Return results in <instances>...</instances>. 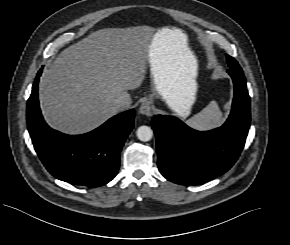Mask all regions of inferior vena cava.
Masks as SVG:
<instances>
[{
    "mask_svg": "<svg viewBox=\"0 0 290 245\" xmlns=\"http://www.w3.org/2000/svg\"><path fill=\"white\" fill-rule=\"evenodd\" d=\"M128 107V103L125 102L123 99H117L114 103V108L117 111H122Z\"/></svg>",
    "mask_w": 290,
    "mask_h": 245,
    "instance_id": "inferior-vena-cava-1",
    "label": "inferior vena cava"
}]
</instances>
